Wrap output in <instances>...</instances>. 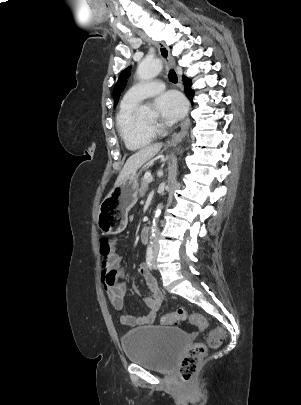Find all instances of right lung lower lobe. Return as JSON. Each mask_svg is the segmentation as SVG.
I'll list each match as a JSON object with an SVG mask.
<instances>
[{
	"instance_id": "1",
	"label": "right lung lower lobe",
	"mask_w": 301,
	"mask_h": 405,
	"mask_svg": "<svg viewBox=\"0 0 301 405\" xmlns=\"http://www.w3.org/2000/svg\"><path fill=\"white\" fill-rule=\"evenodd\" d=\"M184 82H185V92L188 98L192 100L194 91L191 89V80L187 77H184Z\"/></svg>"
}]
</instances>
